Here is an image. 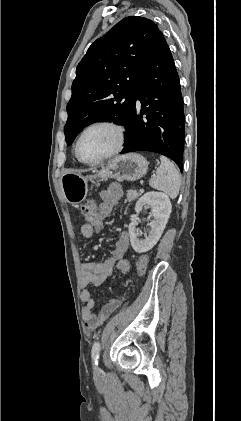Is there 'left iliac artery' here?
<instances>
[{
	"label": "left iliac artery",
	"instance_id": "left-iliac-artery-1",
	"mask_svg": "<svg viewBox=\"0 0 241 421\" xmlns=\"http://www.w3.org/2000/svg\"><path fill=\"white\" fill-rule=\"evenodd\" d=\"M100 343L98 341L94 342L92 346V360L95 365H98V359L100 355Z\"/></svg>",
	"mask_w": 241,
	"mask_h": 421
}]
</instances>
